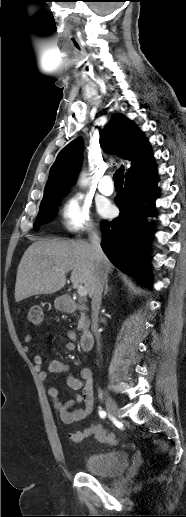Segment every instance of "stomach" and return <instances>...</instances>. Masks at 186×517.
<instances>
[{
	"mask_svg": "<svg viewBox=\"0 0 186 517\" xmlns=\"http://www.w3.org/2000/svg\"><path fill=\"white\" fill-rule=\"evenodd\" d=\"M55 306L57 309H62L63 308V304L61 302V299L60 298H57L56 301H55Z\"/></svg>",
	"mask_w": 186,
	"mask_h": 517,
	"instance_id": "1",
	"label": "stomach"
}]
</instances>
